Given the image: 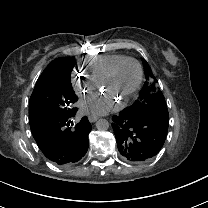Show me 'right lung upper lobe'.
<instances>
[{"label": "right lung upper lobe", "instance_id": "1", "mask_svg": "<svg viewBox=\"0 0 208 208\" xmlns=\"http://www.w3.org/2000/svg\"><path fill=\"white\" fill-rule=\"evenodd\" d=\"M44 72H45V70L43 71V73L41 74V76L39 77V79H40L41 77H43Z\"/></svg>", "mask_w": 208, "mask_h": 208}]
</instances>
